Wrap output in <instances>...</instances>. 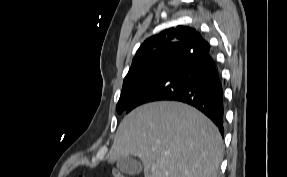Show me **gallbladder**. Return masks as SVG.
<instances>
[{"instance_id": "obj_1", "label": "gallbladder", "mask_w": 287, "mask_h": 177, "mask_svg": "<svg viewBox=\"0 0 287 177\" xmlns=\"http://www.w3.org/2000/svg\"><path fill=\"white\" fill-rule=\"evenodd\" d=\"M117 168L127 175H138L142 171L141 163L133 156L121 157L117 160Z\"/></svg>"}]
</instances>
